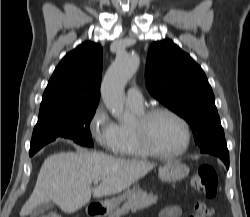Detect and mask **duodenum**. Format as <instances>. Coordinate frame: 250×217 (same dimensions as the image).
Masks as SVG:
<instances>
[{
    "label": "duodenum",
    "mask_w": 250,
    "mask_h": 217,
    "mask_svg": "<svg viewBox=\"0 0 250 217\" xmlns=\"http://www.w3.org/2000/svg\"><path fill=\"white\" fill-rule=\"evenodd\" d=\"M104 210L101 205L92 203L87 207V213L90 217H100Z\"/></svg>",
    "instance_id": "duodenum-1"
}]
</instances>
